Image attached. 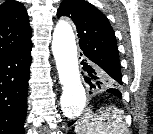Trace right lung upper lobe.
<instances>
[{"instance_id": "obj_1", "label": "right lung upper lobe", "mask_w": 153, "mask_h": 134, "mask_svg": "<svg viewBox=\"0 0 153 134\" xmlns=\"http://www.w3.org/2000/svg\"><path fill=\"white\" fill-rule=\"evenodd\" d=\"M29 18L21 2L9 0L0 5V57L32 44Z\"/></svg>"}]
</instances>
